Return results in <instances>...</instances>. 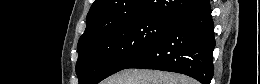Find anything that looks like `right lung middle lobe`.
<instances>
[{"instance_id":"obj_1","label":"right lung middle lobe","mask_w":260,"mask_h":84,"mask_svg":"<svg viewBox=\"0 0 260 84\" xmlns=\"http://www.w3.org/2000/svg\"><path fill=\"white\" fill-rule=\"evenodd\" d=\"M171 21L161 17L129 20L79 45L76 64L79 84H97L125 69L151 47Z\"/></svg>"}]
</instances>
